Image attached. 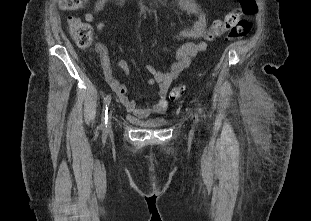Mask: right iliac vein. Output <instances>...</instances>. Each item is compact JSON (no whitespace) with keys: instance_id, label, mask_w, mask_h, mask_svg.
<instances>
[{"instance_id":"right-iliac-vein-1","label":"right iliac vein","mask_w":311,"mask_h":221,"mask_svg":"<svg viewBox=\"0 0 311 221\" xmlns=\"http://www.w3.org/2000/svg\"><path fill=\"white\" fill-rule=\"evenodd\" d=\"M110 118H111V112L109 113V120H108V124H107V128H106V131H107V132L111 129V121H110Z\"/></svg>"}]
</instances>
